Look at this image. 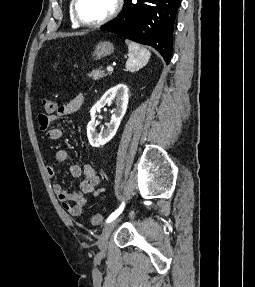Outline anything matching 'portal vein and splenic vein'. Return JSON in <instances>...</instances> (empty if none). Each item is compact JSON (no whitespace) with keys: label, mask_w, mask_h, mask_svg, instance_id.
Masks as SVG:
<instances>
[{"label":"portal vein and splenic vein","mask_w":255,"mask_h":287,"mask_svg":"<svg viewBox=\"0 0 255 287\" xmlns=\"http://www.w3.org/2000/svg\"><path fill=\"white\" fill-rule=\"evenodd\" d=\"M106 70H108V72H113L112 66H107Z\"/></svg>","instance_id":"portal-vein-and-splenic-vein-1"}]
</instances>
